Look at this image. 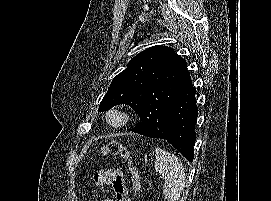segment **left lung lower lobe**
Instances as JSON below:
<instances>
[{"mask_svg": "<svg viewBox=\"0 0 271 201\" xmlns=\"http://www.w3.org/2000/svg\"><path fill=\"white\" fill-rule=\"evenodd\" d=\"M195 93L196 89L186 69L184 82L170 107L164 130L158 137L167 140L190 162L194 157L195 122L198 115ZM132 132L142 134L143 126L138 123Z\"/></svg>", "mask_w": 271, "mask_h": 201, "instance_id": "obj_1", "label": "left lung lower lobe"}]
</instances>
